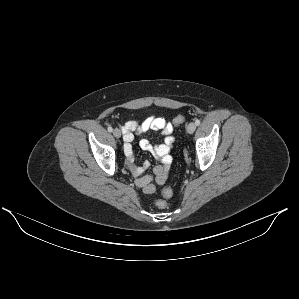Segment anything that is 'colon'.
<instances>
[{"label":"colon","mask_w":299,"mask_h":299,"mask_svg":"<svg viewBox=\"0 0 299 299\" xmlns=\"http://www.w3.org/2000/svg\"><path fill=\"white\" fill-rule=\"evenodd\" d=\"M185 118L182 115L177 116L174 120H173V124L175 126H178L180 124H182L184 122ZM173 194V191L170 187H164L162 189V195L163 198L159 199L157 201V206L160 209H166L168 207V203H167V199H169Z\"/></svg>","instance_id":"obj_1"}]
</instances>
